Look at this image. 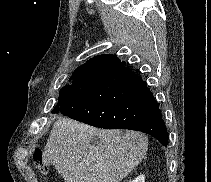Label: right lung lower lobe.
<instances>
[{
	"mask_svg": "<svg viewBox=\"0 0 211 182\" xmlns=\"http://www.w3.org/2000/svg\"><path fill=\"white\" fill-rule=\"evenodd\" d=\"M114 55H98L85 63L75 88L58 101L54 113L106 129H131L168 145L159 105L143 80Z\"/></svg>",
	"mask_w": 211,
	"mask_h": 182,
	"instance_id": "98d812e1",
	"label": "right lung lower lobe"
}]
</instances>
